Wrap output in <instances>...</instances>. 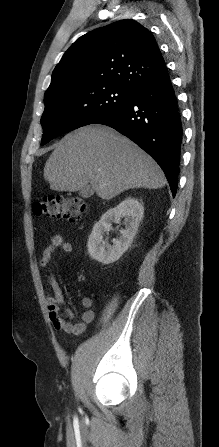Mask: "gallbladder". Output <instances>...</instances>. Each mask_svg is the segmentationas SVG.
<instances>
[{"label":"gallbladder","instance_id":"1","mask_svg":"<svg viewBox=\"0 0 219 447\" xmlns=\"http://www.w3.org/2000/svg\"><path fill=\"white\" fill-rule=\"evenodd\" d=\"M94 194L93 189L87 185L79 190V195L83 198H90Z\"/></svg>","mask_w":219,"mask_h":447}]
</instances>
